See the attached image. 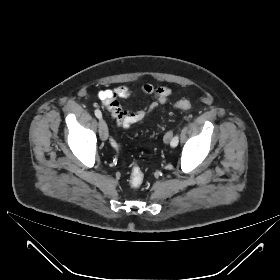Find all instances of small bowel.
Returning a JSON list of instances; mask_svg holds the SVG:
<instances>
[{
  "label": "small bowel",
  "instance_id": "1",
  "mask_svg": "<svg viewBox=\"0 0 280 280\" xmlns=\"http://www.w3.org/2000/svg\"><path fill=\"white\" fill-rule=\"evenodd\" d=\"M140 91L152 98V100L140 110L126 109L121 100L130 99L135 95V91L127 85H121L113 89H106L99 92V98L108 109L111 117L118 127L128 129L135 124H141L145 118L166 104L172 95V90L167 86H154L151 83H144Z\"/></svg>",
  "mask_w": 280,
  "mask_h": 280
}]
</instances>
